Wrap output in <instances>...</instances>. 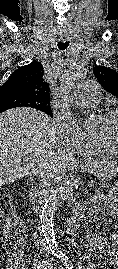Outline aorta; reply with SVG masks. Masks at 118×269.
<instances>
[{"mask_svg":"<svg viewBox=\"0 0 118 269\" xmlns=\"http://www.w3.org/2000/svg\"><path fill=\"white\" fill-rule=\"evenodd\" d=\"M84 77L83 69L79 65L72 66L61 77L62 93L71 103L79 95ZM75 114L82 125L88 126L92 123L88 111L76 110ZM77 188V180L71 178L54 190L44 204L40 218V229L47 245L53 251L58 250L53 227L55 211L62 201H65L74 195Z\"/></svg>","mask_w":118,"mask_h":269,"instance_id":"obj_1","label":"aorta"}]
</instances>
